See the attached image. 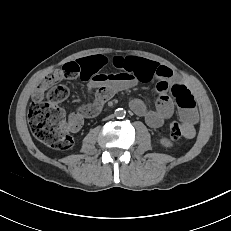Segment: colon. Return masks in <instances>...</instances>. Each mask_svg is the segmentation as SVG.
Here are the masks:
<instances>
[{
	"mask_svg": "<svg viewBox=\"0 0 231 231\" xmlns=\"http://www.w3.org/2000/svg\"><path fill=\"white\" fill-rule=\"evenodd\" d=\"M63 72L67 77H75L79 68L75 64H66ZM45 92L46 101L34 98L28 111L29 125L34 136L45 145L58 149L68 150L73 145L69 134L70 128L76 127L82 121L78 113L69 115L67 121L64 111L58 103L69 95V89L63 84H51ZM169 134L172 139L178 140L184 135V127L174 121L169 125Z\"/></svg>",
	"mask_w": 231,
	"mask_h": 231,
	"instance_id": "1",
	"label": "colon"
}]
</instances>
